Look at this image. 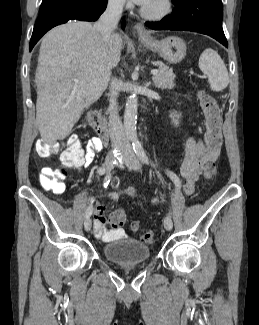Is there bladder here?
<instances>
[{
  "label": "bladder",
  "mask_w": 259,
  "mask_h": 325,
  "mask_svg": "<svg viewBox=\"0 0 259 325\" xmlns=\"http://www.w3.org/2000/svg\"><path fill=\"white\" fill-rule=\"evenodd\" d=\"M104 257L121 265L139 264L150 257V248L146 243L133 238H124L103 246Z\"/></svg>",
  "instance_id": "31cf9c89"
}]
</instances>
